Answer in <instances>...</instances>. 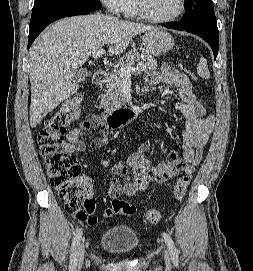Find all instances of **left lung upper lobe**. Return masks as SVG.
I'll return each instance as SVG.
<instances>
[{"label":"left lung upper lobe","instance_id":"5c2ea615","mask_svg":"<svg viewBox=\"0 0 253 271\" xmlns=\"http://www.w3.org/2000/svg\"><path fill=\"white\" fill-rule=\"evenodd\" d=\"M185 9L181 23L186 26L208 18H215L212 0H186Z\"/></svg>","mask_w":253,"mask_h":271}]
</instances>
